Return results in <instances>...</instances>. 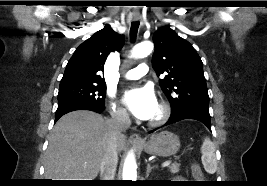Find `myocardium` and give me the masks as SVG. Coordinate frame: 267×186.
<instances>
[{"instance_id": "obj_1", "label": "myocardium", "mask_w": 267, "mask_h": 186, "mask_svg": "<svg viewBox=\"0 0 267 186\" xmlns=\"http://www.w3.org/2000/svg\"><path fill=\"white\" fill-rule=\"evenodd\" d=\"M158 106L160 110L159 115L155 119L148 121V125L150 127H159L163 125L170 117L171 109L166 102L160 101Z\"/></svg>"}]
</instances>
